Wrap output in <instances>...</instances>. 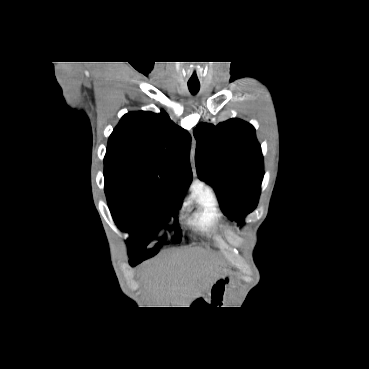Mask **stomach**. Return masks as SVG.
Returning a JSON list of instances; mask_svg holds the SVG:
<instances>
[{"label":"stomach","instance_id":"0dacf381","mask_svg":"<svg viewBox=\"0 0 369 369\" xmlns=\"http://www.w3.org/2000/svg\"><path fill=\"white\" fill-rule=\"evenodd\" d=\"M232 283V273L228 272L224 276L216 279L210 287L209 295L211 299H222L225 298L228 290Z\"/></svg>","mask_w":369,"mask_h":369}]
</instances>
